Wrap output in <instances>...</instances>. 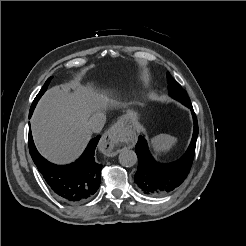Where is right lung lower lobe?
<instances>
[{"label":"right lung lower lobe","instance_id":"1","mask_svg":"<svg viewBox=\"0 0 246 246\" xmlns=\"http://www.w3.org/2000/svg\"><path fill=\"white\" fill-rule=\"evenodd\" d=\"M32 113L30 109L29 117ZM99 139L100 135L93 138L74 163L60 166L48 162L39 154L29 129L30 155L52 191L64 202L81 203L98 190L102 165L95 161L94 151Z\"/></svg>","mask_w":246,"mask_h":246}]
</instances>
